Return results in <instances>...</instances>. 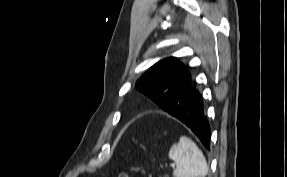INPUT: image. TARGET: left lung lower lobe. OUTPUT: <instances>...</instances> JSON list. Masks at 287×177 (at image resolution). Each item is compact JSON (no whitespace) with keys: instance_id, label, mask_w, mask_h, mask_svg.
Masks as SVG:
<instances>
[{"instance_id":"1","label":"left lung lower lobe","mask_w":287,"mask_h":177,"mask_svg":"<svg viewBox=\"0 0 287 177\" xmlns=\"http://www.w3.org/2000/svg\"><path fill=\"white\" fill-rule=\"evenodd\" d=\"M169 114L185 123L201 140L203 145L210 149L209 124L204 115L202 98L194 86L173 95L169 99Z\"/></svg>"}]
</instances>
